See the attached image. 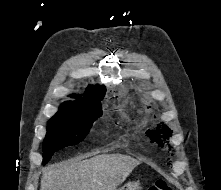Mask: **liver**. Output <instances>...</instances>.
I'll list each match as a JSON object with an SVG mask.
<instances>
[{
    "mask_svg": "<svg viewBox=\"0 0 221 190\" xmlns=\"http://www.w3.org/2000/svg\"><path fill=\"white\" fill-rule=\"evenodd\" d=\"M139 164L118 153L55 163L43 169L40 190H116Z\"/></svg>",
    "mask_w": 221,
    "mask_h": 190,
    "instance_id": "obj_1",
    "label": "liver"
}]
</instances>
